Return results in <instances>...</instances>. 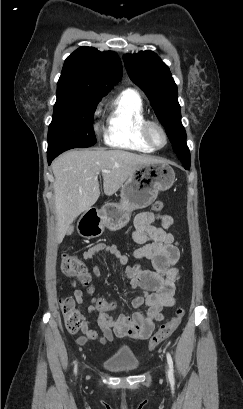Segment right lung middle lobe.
I'll use <instances>...</instances> for the list:
<instances>
[{"label": "right lung middle lobe", "mask_w": 243, "mask_h": 409, "mask_svg": "<svg viewBox=\"0 0 243 409\" xmlns=\"http://www.w3.org/2000/svg\"><path fill=\"white\" fill-rule=\"evenodd\" d=\"M101 98L57 92L53 120L48 131V150L55 147L86 148L96 143L93 116Z\"/></svg>", "instance_id": "1"}]
</instances>
